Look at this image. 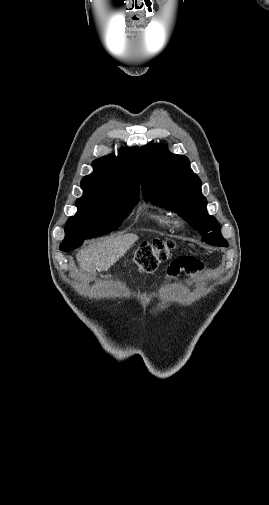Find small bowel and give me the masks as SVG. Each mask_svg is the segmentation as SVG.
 <instances>
[{
  "label": "small bowel",
  "instance_id": "small-bowel-1",
  "mask_svg": "<svg viewBox=\"0 0 269 505\" xmlns=\"http://www.w3.org/2000/svg\"><path fill=\"white\" fill-rule=\"evenodd\" d=\"M171 271H169V276H174V274L179 271V270H183V271H197V272H200V271H205V262L204 261H195L194 259H178V260H174L171 264ZM168 269V268H166ZM176 271V272H174Z\"/></svg>",
  "mask_w": 269,
  "mask_h": 505
}]
</instances>
